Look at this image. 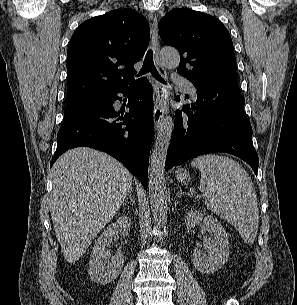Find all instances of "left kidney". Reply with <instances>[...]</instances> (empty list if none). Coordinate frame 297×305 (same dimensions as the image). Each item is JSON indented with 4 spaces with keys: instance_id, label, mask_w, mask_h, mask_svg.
Instances as JSON below:
<instances>
[{
    "instance_id": "5707ae66",
    "label": "left kidney",
    "mask_w": 297,
    "mask_h": 305,
    "mask_svg": "<svg viewBox=\"0 0 297 305\" xmlns=\"http://www.w3.org/2000/svg\"><path fill=\"white\" fill-rule=\"evenodd\" d=\"M202 222V227L209 232V236L203 240L206 250L204 254L196 248L192 255L193 266L203 274L218 271L229 258L228 235L217 219L197 210L190 211L185 217V224L193 228Z\"/></svg>"
}]
</instances>
